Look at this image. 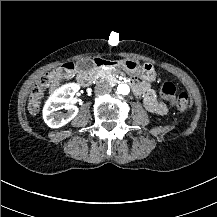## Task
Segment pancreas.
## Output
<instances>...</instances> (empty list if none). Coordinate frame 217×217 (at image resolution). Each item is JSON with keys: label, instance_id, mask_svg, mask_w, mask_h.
Returning <instances> with one entry per match:
<instances>
[{"label": "pancreas", "instance_id": "pancreas-1", "mask_svg": "<svg viewBox=\"0 0 217 217\" xmlns=\"http://www.w3.org/2000/svg\"><path fill=\"white\" fill-rule=\"evenodd\" d=\"M119 71L117 69H113V70H107V71H103L101 73V75L106 78L107 80H111L112 78H114L116 76V74H118Z\"/></svg>", "mask_w": 217, "mask_h": 217}]
</instances>
